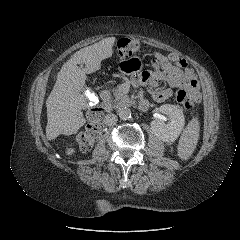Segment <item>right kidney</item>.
I'll return each instance as SVG.
<instances>
[{
	"label": "right kidney",
	"mask_w": 240,
	"mask_h": 240,
	"mask_svg": "<svg viewBox=\"0 0 240 240\" xmlns=\"http://www.w3.org/2000/svg\"><path fill=\"white\" fill-rule=\"evenodd\" d=\"M75 153V149L74 148H68L67 150H66V154L67 155H72V154H74Z\"/></svg>",
	"instance_id": "1"
}]
</instances>
